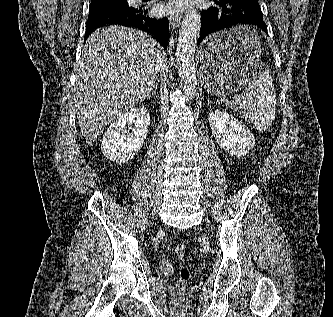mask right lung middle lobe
<instances>
[{
    "label": "right lung middle lobe",
    "instance_id": "right-lung-middle-lobe-1",
    "mask_svg": "<svg viewBox=\"0 0 333 317\" xmlns=\"http://www.w3.org/2000/svg\"><path fill=\"white\" fill-rule=\"evenodd\" d=\"M107 7L125 8L129 7V5L126 0H92L89 10H96Z\"/></svg>",
    "mask_w": 333,
    "mask_h": 317
}]
</instances>
